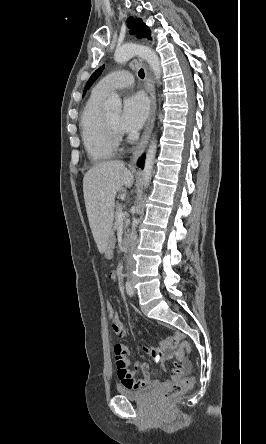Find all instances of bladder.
<instances>
[{"mask_svg": "<svg viewBox=\"0 0 266 444\" xmlns=\"http://www.w3.org/2000/svg\"><path fill=\"white\" fill-rule=\"evenodd\" d=\"M153 390H154V385H149L137 390L120 387L119 395L128 400L142 402L151 395Z\"/></svg>", "mask_w": 266, "mask_h": 444, "instance_id": "31cf9c89", "label": "bladder"}]
</instances>
